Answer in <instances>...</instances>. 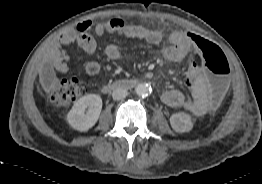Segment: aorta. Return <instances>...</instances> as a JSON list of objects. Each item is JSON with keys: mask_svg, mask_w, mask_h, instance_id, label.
Listing matches in <instances>:
<instances>
[{"mask_svg": "<svg viewBox=\"0 0 262 184\" xmlns=\"http://www.w3.org/2000/svg\"><path fill=\"white\" fill-rule=\"evenodd\" d=\"M135 92L139 96H147L150 92V87L148 84L140 83L136 86Z\"/></svg>", "mask_w": 262, "mask_h": 184, "instance_id": "aorta-1", "label": "aorta"}]
</instances>
